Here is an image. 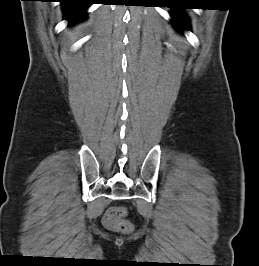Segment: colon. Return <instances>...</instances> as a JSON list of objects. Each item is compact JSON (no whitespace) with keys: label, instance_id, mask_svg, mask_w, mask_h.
<instances>
[{"label":"colon","instance_id":"1","mask_svg":"<svg viewBox=\"0 0 259 266\" xmlns=\"http://www.w3.org/2000/svg\"><path fill=\"white\" fill-rule=\"evenodd\" d=\"M127 210L125 207H113L106 213L104 224L111 230L130 233L133 230V225L126 219Z\"/></svg>","mask_w":259,"mask_h":266}]
</instances>
